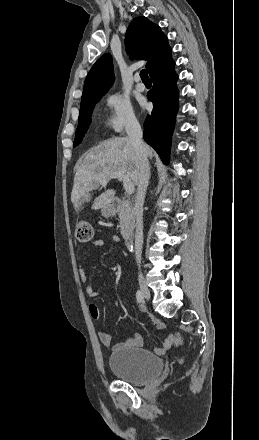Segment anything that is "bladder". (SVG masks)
Instances as JSON below:
<instances>
[{
    "label": "bladder",
    "mask_w": 259,
    "mask_h": 440,
    "mask_svg": "<svg viewBox=\"0 0 259 440\" xmlns=\"http://www.w3.org/2000/svg\"><path fill=\"white\" fill-rule=\"evenodd\" d=\"M108 364L117 378L134 384L155 378L163 369L161 358L141 348H118L109 356Z\"/></svg>",
    "instance_id": "31cf9c89"
}]
</instances>
